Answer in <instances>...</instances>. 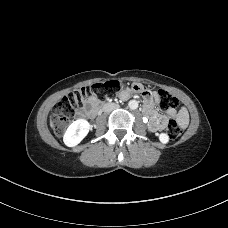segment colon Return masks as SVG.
I'll list each match as a JSON object with an SVG mask.
<instances>
[{
    "mask_svg": "<svg viewBox=\"0 0 228 228\" xmlns=\"http://www.w3.org/2000/svg\"><path fill=\"white\" fill-rule=\"evenodd\" d=\"M126 85L123 80H108L102 83H95L90 87H81L76 89L73 93L64 97L56 106L55 112L52 117V123L54 131L57 135H61L67 124L69 123V116L74 112L75 109L79 108L86 97L91 93L99 96L104 89L113 90L122 88ZM131 89L134 93L140 94L147 98L151 95V92L141 84H132ZM159 107L163 111L174 110L178 107L179 101L172 94L165 90L158 91ZM184 131L177 121L171 120L168 123L167 133L171 139H176L182 135Z\"/></svg>",
    "mask_w": 228,
    "mask_h": 228,
    "instance_id": "5ec220e1",
    "label": "colon"
}]
</instances>
